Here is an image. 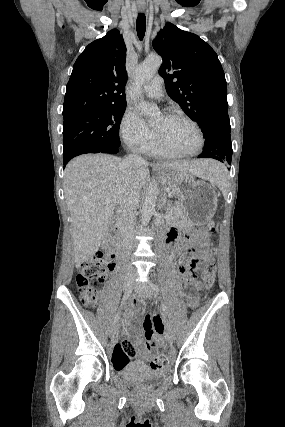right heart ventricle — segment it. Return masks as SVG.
Here are the masks:
<instances>
[{"label":"right heart ventricle","instance_id":"obj_1","mask_svg":"<svg viewBox=\"0 0 285 427\" xmlns=\"http://www.w3.org/2000/svg\"><path fill=\"white\" fill-rule=\"evenodd\" d=\"M145 153L162 158H175L178 156L163 149L156 141L145 151Z\"/></svg>","mask_w":285,"mask_h":427}]
</instances>
